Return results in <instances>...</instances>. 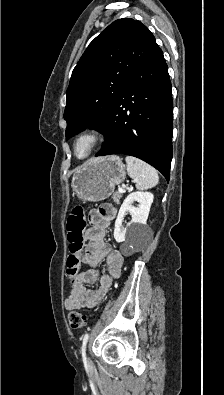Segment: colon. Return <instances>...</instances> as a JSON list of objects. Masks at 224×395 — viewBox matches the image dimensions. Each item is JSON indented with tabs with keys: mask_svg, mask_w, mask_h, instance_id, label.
I'll return each mask as SVG.
<instances>
[{
	"mask_svg": "<svg viewBox=\"0 0 224 395\" xmlns=\"http://www.w3.org/2000/svg\"><path fill=\"white\" fill-rule=\"evenodd\" d=\"M85 227L84 208L82 206H76L69 215L66 223L67 239L71 252L67 259L66 277L68 279H74L79 272ZM68 320L72 329L79 330L86 325L87 317L81 312L72 311L69 313Z\"/></svg>",
	"mask_w": 224,
	"mask_h": 395,
	"instance_id": "5ec220e1",
	"label": "colon"
}]
</instances>
